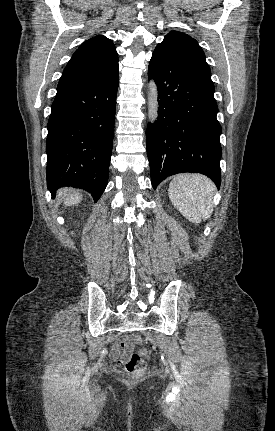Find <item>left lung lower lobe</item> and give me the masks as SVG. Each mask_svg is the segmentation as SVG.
I'll list each match as a JSON object with an SVG mask.
<instances>
[{
	"instance_id": "obj_1",
	"label": "left lung lower lobe",
	"mask_w": 275,
	"mask_h": 431,
	"mask_svg": "<svg viewBox=\"0 0 275 431\" xmlns=\"http://www.w3.org/2000/svg\"><path fill=\"white\" fill-rule=\"evenodd\" d=\"M148 75L154 78L160 99L157 122L148 125L146 135L153 188L167 176L183 172L204 174L219 188L222 129L214 92L159 46Z\"/></svg>"
}]
</instances>
